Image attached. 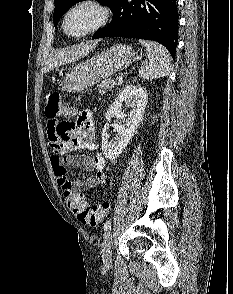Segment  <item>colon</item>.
I'll return each mask as SVG.
<instances>
[{
  "label": "colon",
  "instance_id": "colon-1",
  "mask_svg": "<svg viewBox=\"0 0 233 294\" xmlns=\"http://www.w3.org/2000/svg\"><path fill=\"white\" fill-rule=\"evenodd\" d=\"M76 114V107L62 100L57 92L46 96L45 115L48 117H70ZM64 198L67 206L77 219L88 226H97L107 214L110 204L105 201L100 204L88 205L82 194L66 189Z\"/></svg>",
  "mask_w": 233,
  "mask_h": 294
}]
</instances>
